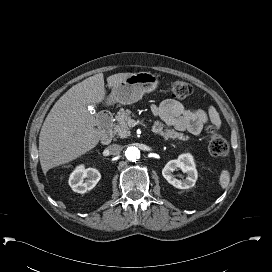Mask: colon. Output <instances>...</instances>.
I'll return each instance as SVG.
<instances>
[{
    "mask_svg": "<svg viewBox=\"0 0 272 272\" xmlns=\"http://www.w3.org/2000/svg\"><path fill=\"white\" fill-rule=\"evenodd\" d=\"M169 94L176 99H184L192 93L190 84L182 81H170L167 83ZM209 134V151L215 157H224L229 152L227 140L218 133L217 129L210 126Z\"/></svg>",
    "mask_w": 272,
    "mask_h": 272,
    "instance_id": "colon-1",
    "label": "colon"
}]
</instances>
